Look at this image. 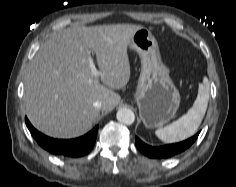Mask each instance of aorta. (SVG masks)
<instances>
[{
  "instance_id": "1",
  "label": "aorta",
  "mask_w": 236,
  "mask_h": 187,
  "mask_svg": "<svg viewBox=\"0 0 236 187\" xmlns=\"http://www.w3.org/2000/svg\"><path fill=\"white\" fill-rule=\"evenodd\" d=\"M117 120L120 123L131 125L135 121L134 112L129 108H121L118 110L116 114Z\"/></svg>"
}]
</instances>
